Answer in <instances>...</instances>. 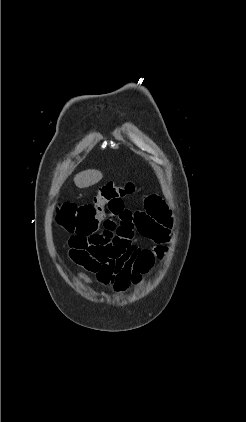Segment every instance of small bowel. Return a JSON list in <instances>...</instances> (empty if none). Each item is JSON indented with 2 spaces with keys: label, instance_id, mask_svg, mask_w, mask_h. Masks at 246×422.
<instances>
[{
  "label": "small bowel",
  "instance_id": "1",
  "mask_svg": "<svg viewBox=\"0 0 246 422\" xmlns=\"http://www.w3.org/2000/svg\"><path fill=\"white\" fill-rule=\"evenodd\" d=\"M172 225L165 202L156 195L145 200V209L132 212L122 205L110 209L101 226L89 235H73L68 256L84 269L77 277L86 284H100L120 293L132 284L133 263L140 250L135 238L138 231L153 240L164 253ZM95 275L92 278L86 272Z\"/></svg>",
  "mask_w": 246,
  "mask_h": 422
}]
</instances>
